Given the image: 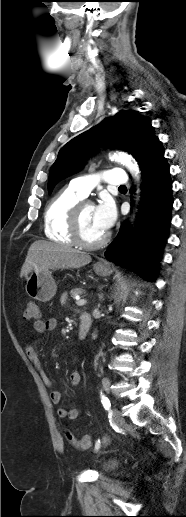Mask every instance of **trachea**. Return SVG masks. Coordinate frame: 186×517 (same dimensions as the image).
<instances>
[{"label":"trachea","instance_id":"obj_1","mask_svg":"<svg viewBox=\"0 0 186 517\" xmlns=\"http://www.w3.org/2000/svg\"><path fill=\"white\" fill-rule=\"evenodd\" d=\"M119 188H121V189H122V188H126V186H125V185H121V186H119Z\"/></svg>","mask_w":186,"mask_h":517}]
</instances>
